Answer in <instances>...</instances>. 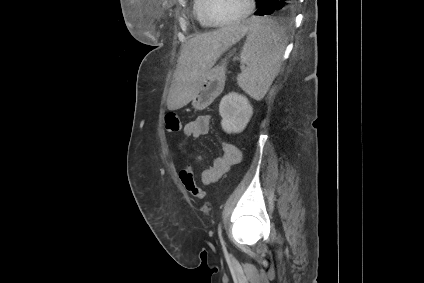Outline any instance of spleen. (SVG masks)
Returning a JSON list of instances; mask_svg holds the SVG:
<instances>
[{"label": "spleen", "instance_id": "spleen-1", "mask_svg": "<svg viewBox=\"0 0 424 283\" xmlns=\"http://www.w3.org/2000/svg\"><path fill=\"white\" fill-rule=\"evenodd\" d=\"M247 23L249 33L240 56L247 66L237 82L248 95L261 100L280 71L286 35L271 19L251 18Z\"/></svg>", "mask_w": 424, "mask_h": 283}]
</instances>
